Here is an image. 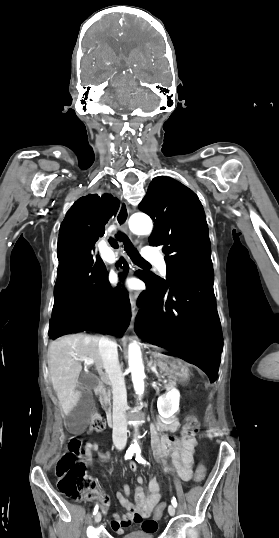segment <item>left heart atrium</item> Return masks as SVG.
<instances>
[{"label": "left heart atrium", "mask_w": 279, "mask_h": 538, "mask_svg": "<svg viewBox=\"0 0 279 538\" xmlns=\"http://www.w3.org/2000/svg\"><path fill=\"white\" fill-rule=\"evenodd\" d=\"M111 283L118 289H132L134 287L133 279L121 277L117 274L111 276Z\"/></svg>", "instance_id": "obj_1"}]
</instances>
